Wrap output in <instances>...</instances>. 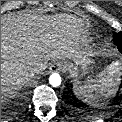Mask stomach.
I'll use <instances>...</instances> for the list:
<instances>
[{
  "label": "stomach",
  "instance_id": "obj_1",
  "mask_svg": "<svg viewBox=\"0 0 122 122\" xmlns=\"http://www.w3.org/2000/svg\"><path fill=\"white\" fill-rule=\"evenodd\" d=\"M82 71H83V74L88 73L89 71L88 62H85L84 64H82Z\"/></svg>",
  "mask_w": 122,
  "mask_h": 122
}]
</instances>
